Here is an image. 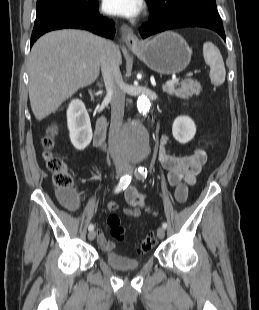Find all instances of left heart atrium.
Wrapping results in <instances>:
<instances>
[{
    "mask_svg": "<svg viewBox=\"0 0 259 310\" xmlns=\"http://www.w3.org/2000/svg\"><path fill=\"white\" fill-rule=\"evenodd\" d=\"M104 10L112 15L136 17L142 9L140 0H104Z\"/></svg>",
    "mask_w": 259,
    "mask_h": 310,
    "instance_id": "39dd6f15",
    "label": "left heart atrium"
}]
</instances>
